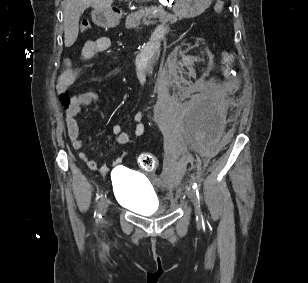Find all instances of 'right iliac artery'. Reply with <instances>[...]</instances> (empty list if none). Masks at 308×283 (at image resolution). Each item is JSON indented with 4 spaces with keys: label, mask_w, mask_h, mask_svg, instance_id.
I'll return each mask as SVG.
<instances>
[{
    "label": "right iliac artery",
    "mask_w": 308,
    "mask_h": 283,
    "mask_svg": "<svg viewBox=\"0 0 308 283\" xmlns=\"http://www.w3.org/2000/svg\"><path fill=\"white\" fill-rule=\"evenodd\" d=\"M97 199H100L98 202V206H97V211L95 212L94 215L97 216V220L102 218L103 215V207H104V201H103V196L101 194V196H98Z\"/></svg>",
    "instance_id": "1"
}]
</instances>
